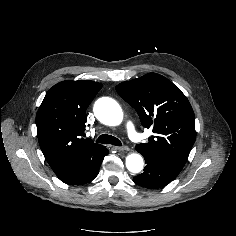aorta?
I'll return each instance as SVG.
<instances>
[{
	"label": "aorta",
	"instance_id": "obj_1",
	"mask_svg": "<svg viewBox=\"0 0 236 236\" xmlns=\"http://www.w3.org/2000/svg\"><path fill=\"white\" fill-rule=\"evenodd\" d=\"M94 112L100 122L109 126H117L123 119L120 105L114 99L108 97L97 100ZM143 165V158L140 154L132 153L126 158V167L132 173H139L143 169Z\"/></svg>",
	"mask_w": 236,
	"mask_h": 236
}]
</instances>
